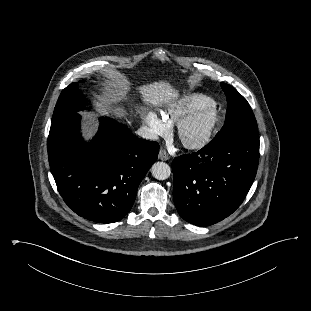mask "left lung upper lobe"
<instances>
[{
    "label": "left lung upper lobe",
    "mask_w": 311,
    "mask_h": 311,
    "mask_svg": "<svg viewBox=\"0 0 311 311\" xmlns=\"http://www.w3.org/2000/svg\"><path fill=\"white\" fill-rule=\"evenodd\" d=\"M227 98L225 124L216 134L214 140L235 133L258 135L257 122L247 100L232 86L221 83Z\"/></svg>",
    "instance_id": "1"
}]
</instances>
